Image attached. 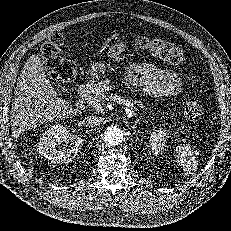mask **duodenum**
<instances>
[{"instance_id": "obj_1", "label": "duodenum", "mask_w": 231, "mask_h": 231, "mask_svg": "<svg viewBox=\"0 0 231 231\" xmlns=\"http://www.w3.org/2000/svg\"><path fill=\"white\" fill-rule=\"evenodd\" d=\"M92 85L90 82L81 84L77 89V94L79 96V105L83 106V100L91 93Z\"/></svg>"}]
</instances>
